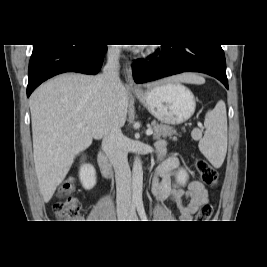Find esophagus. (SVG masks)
Wrapping results in <instances>:
<instances>
[{
	"label": "esophagus",
	"instance_id": "34e87169",
	"mask_svg": "<svg viewBox=\"0 0 267 267\" xmlns=\"http://www.w3.org/2000/svg\"><path fill=\"white\" fill-rule=\"evenodd\" d=\"M127 76H128V79H127L128 88L133 90V91L141 90L140 87L135 83L130 71L127 72Z\"/></svg>",
	"mask_w": 267,
	"mask_h": 267
}]
</instances>
